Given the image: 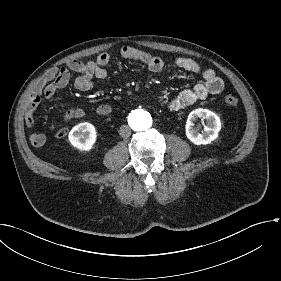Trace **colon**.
Listing matches in <instances>:
<instances>
[{
    "mask_svg": "<svg viewBox=\"0 0 281 281\" xmlns=\"http://www.w3.org/2000/svg\"><path fill=\"white\" fill-rule=\"evenodd\" d=\"M224 101H225L226 105H228V106H236L238 104V99L235 96H226L224 98ZM64 135H65V131L64 130H61L58 133L59 137L64 136Z\"/></svg>",
    "mask_w": 281,
    "mask_h": 281,
    "instance_id": "colon-1",
    "label": "colon"
}]
</instances>
